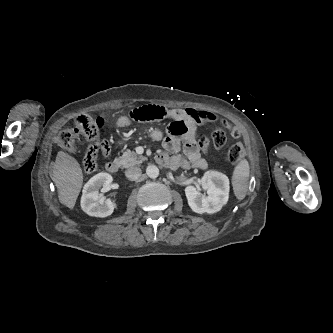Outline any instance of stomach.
<instances>
[{
    "label": "stomach",
    "mask_w": 333,
    "mask_h": 333,
    "mask_svg": "<svg viewBox=\"0 0 333 333\" xmlns=\"http://www.w3.org/2000/svg\"><path fill=\"white\" fill-rule=\"evenodd\" d=\"M151 137L156 140H161L163 137V133L160 130H154L151 132Z\"/></svg>",
    "instance_id": "obj_1"
}]
</instances>
